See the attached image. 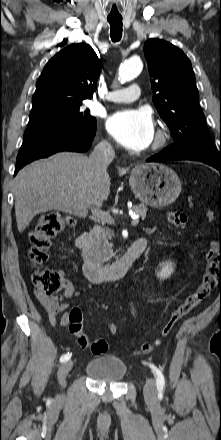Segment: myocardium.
Listing matches in <instances>:
<instances>
[{"instance_id":"myocardium-1","label":"myocardium","mask_w":221,"mask_h":440,"mask_svg":"<svg viewBox=\"0 0 221 440\" xmlns=\"http://www.w3.org/2000/svg\"><path fill=\"white\" fill-rule=\"evenodd\" d=\"M168 138L169 136L167 129L163 126L158 127L153 138L151 150L158 151L164 148L168 141Z\"/></svg>"}]
</instances>
